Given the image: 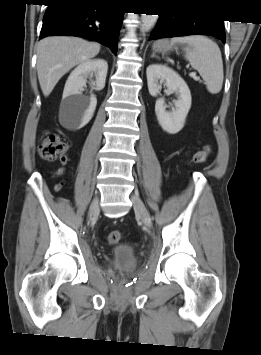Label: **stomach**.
Wrapping results in <instances>:
<instances>
[{
	"mask_svg": "<svg viewBox=\"0 0 261 355\" xmlns=\"http://www.w3.org/2000/svg\"><path fill=\"white\" fill-rule=\"evenodd\" d=\"M173 48L177 49V47L170 43L168 40H158L153 44V51L157 53H167Z\"/></svg>",
	"mask_w": 261,
	"mask_h": 355,
	"instance_id": "1",
	"label": "stomach"
}]
</instances>
